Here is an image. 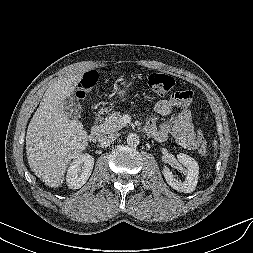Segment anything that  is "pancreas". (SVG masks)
Segmentation results:
<instances>
[{
	"instance_id": "1",
	"label": "pancreas",
	"mask_w": 253,
	"mask_h": 253,
	"mask_svg": "<svg viewBox=\"0 0 253 253\" xmlns=\"http://www.w3.org/2000/svg\"><path fill=\"white\" fill-rule=\"evenodd\" d=\"M125 126L126 124L123 122L120 112H114L100 125V132L102 134L117 133Z\"/></svg>"
}]
</instances>
